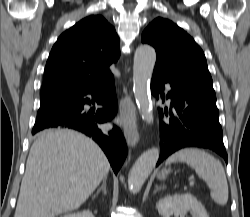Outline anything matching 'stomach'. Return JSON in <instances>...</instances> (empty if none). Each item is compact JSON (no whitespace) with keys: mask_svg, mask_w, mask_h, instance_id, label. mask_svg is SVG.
Returning a JSON list of instances; mask_svg holds the SVG:
<instances>
[{"mask_svg":"<svg viewBox=\"0 0 250 217\" xmlns=\"http://www.w3.org/2000/svg\"><path fill=\"white\" fill-rule=\"evenodd\" d=\"M170 172V169H163L159 172L158 178L159 179H164L166 175Z\"/></svg>","mask_w":250,"mask_h":217,"instance_id":"obj_1","label":"stomach"}]
</instances>
